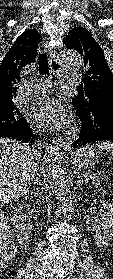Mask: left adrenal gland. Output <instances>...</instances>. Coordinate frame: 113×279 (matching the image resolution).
Segmentation results:
<instances>
[{"label": "left adrenal gland", "mask_w": 113, "mask_h": 279, "mask_svg": "<svg viewBox=\"0 0 113 279\" xmlns=\"http://www.w3.org/2000/svg\"><path fill=\"white\" fill-rule=\"evenodd\" d=\"M84 180L80 178L79 175H77V186H80L81 184H83ZM85 183H87V181H85Z\"/></svg>", "instance_id": "a2214340"}]
</instances>
